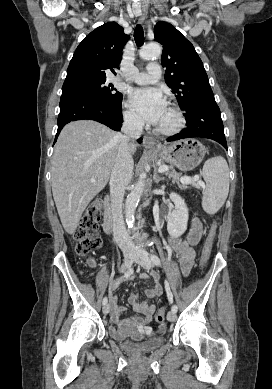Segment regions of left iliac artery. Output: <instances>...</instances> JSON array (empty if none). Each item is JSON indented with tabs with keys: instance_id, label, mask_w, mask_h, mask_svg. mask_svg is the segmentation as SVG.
<instances>
[{
	"instance_id": "1",
	"label": "left iliac artery",
	"mask_w": 272,
	"mask_h": 389,
	"mask_svg": "<svg viewBox=\"0 0 272 389\" xmlns=\"http://www.w3.org/2000/svg\"><path fill=\"white\" fill-rule=\"evenodd\" d=\"M151 260L157 266H159L161 264V261H160L159 257L157 255H155V254H151ZM165 289H166L169 301H172L173 300V296H172V292L170 290L169 283L167 281L165 282ZM171 310H172V312L176 313L178 308H177L176 305H173Z\"/></svg>"
}]
</instances>
